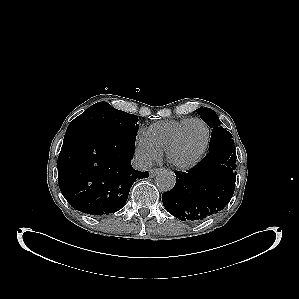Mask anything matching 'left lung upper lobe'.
<instances>
[{
    "label": "left lung upper lobe",
    "mask_w": 299,
    "mask_h": 299,
    "mask_svg": "<svg viewBox=\"0 0 299 299\" xmlns=\"http://www.w3.org/2000/svg\"><path fill=\"white\" fill-rule=\"evenodd\" d=\"M196 111L200 115L201 119L211 128H213L209 144V151L224 144L234 145L232 135L226 129L220 126L221 122L212 109L204 107L199 108Z\"/></svg>",
    "instance_id": "left-lung-upper-lobe-1"
}]
</instances>
